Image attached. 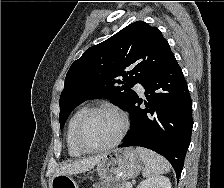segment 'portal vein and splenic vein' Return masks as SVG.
Listing matches in <instances>:
<instances>
[{
  "label": "portal vein and splenic vein",
  "instance_id": "portal-vein-and-splenic-vein-1",
  "mask_svg": "<svg viewBox=\"0 0 224 188\" xmlns=\"http://www.w3.org/2000/svg\"><path fill=\"white\" fill-rule=\"evenodd\" d=\"M126 188H132V184L131 183H126Z\"/></svg>",
  "mask_w": 224,
  "mask_h": 188
}]
</instances>
